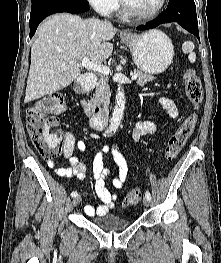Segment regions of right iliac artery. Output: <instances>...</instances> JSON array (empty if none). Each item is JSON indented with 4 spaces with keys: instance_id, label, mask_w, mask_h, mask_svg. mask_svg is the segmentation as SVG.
I'll list each match as a JSON object with an SVG mask.
<instances>
[{
    "instance_id": "right-iliac-artery-1",
    "label": "right iliac artery",
    "mask_w": 221,
    "mask_h": 263,
    "mask_svg": "<svg viewBox=\"0 0 221 263\" xmlns=\"http://www.w3.org/2000/svg\"><path fill=\"white\" fill-rule=\"evenodd\" d=\"M77 195H78L77 191H73V192L71 193V196H72V197H76Z\"/></svg>"
}]
</instances>
